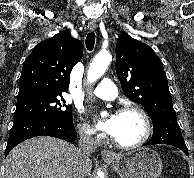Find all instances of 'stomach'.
I'll use <instances>...</instances> for the list:
<instances>
[{
  "label": "stomach",
  "mask_w": 194,
  "mask_h": 178,
  "mask_svg": "<svg viewBox=\"0 0 194 178\" xmlns=\"http://www.w3.org/2000/svg\"><path fill=\"white\" fill-rule=\"evenodd\" d=\"M121 178H158L162 171L159 154L150 148L115 154L105 159Z\"/></svg>",
  "instance_id": "0dacf381"
}]
</instances>
